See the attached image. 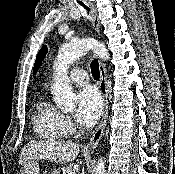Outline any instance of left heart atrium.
<instances>
[{"label":"left heart atrium","mask_w":175,"mask_h":174,"mask_svg":"<svg viewBox=\"0 0 175 174\" xmlns=\"http://www.w3.org/2000/svg\"><path fill=\"white\" fill-rule=\"evenodd\" d=\"M102 98L94 87L88 86L78 94L77 121L86 127L93 126L102 113Z\"/></svg>","instance_id":"39dd6f15"}]
</instances>
